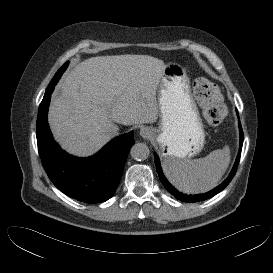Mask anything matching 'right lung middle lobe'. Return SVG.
Returning a JSON list of instances; mask_svg holds the SVG:
<instances>
[{"label":"right lung middle lobe","mask_w":273,"mask_h":273,"mask_svg":"<svg viewBox=\"0 0 273 273\" xmlns=\"http://www.w3.org/2000/svg\"><path fill=\"white\" fill-rule=\"evenodd\" d=\"M68 66V63H65L59 70L58 72L55 74L54 78L52 79V81L50 82L48 88L55 86L57 84V82L59 81L60 77L62 76V73L66 70Z\"/></svg>","instance_id":"right-lung-middle-lobe-1"}]
</instances>
